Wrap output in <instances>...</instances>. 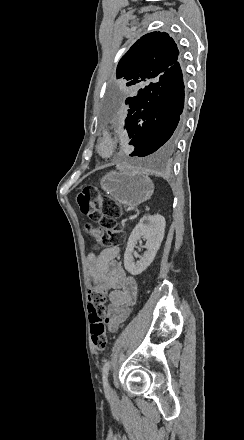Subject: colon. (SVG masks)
Listing matches in <instances>:
<instances>
[{
	"instance_id": "obj_1",
	"label": "colon",
	"mask_w": 244,
	"mask_h": 440,
	"mask_svg": "<svg viewBox=\"0 0 244 440\" xmlns=\"http://www.w3.org/2000/svg\"><path fill=\"white\" fill-rule=\"evenodd\" d=\"M76 202L80 213L99 225L96 235L99 245L103 248L112 247L117 245L119 239L124 238L125 234L122 229L125 224L122 221L117 222L120 211L111 199L91 187H85L78 193ZM115 227L119 230L114 232ZM85 228H89V225ZM90 230L95 232L93 226ZM105 301L106 291L96 289L92 292L87 305L91 340L98 352L105 351L108 346Z\"/></svg>"
}]
</instances>
